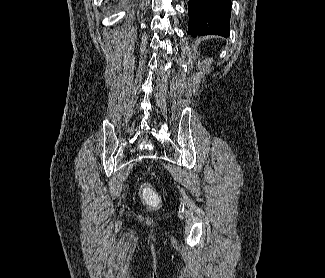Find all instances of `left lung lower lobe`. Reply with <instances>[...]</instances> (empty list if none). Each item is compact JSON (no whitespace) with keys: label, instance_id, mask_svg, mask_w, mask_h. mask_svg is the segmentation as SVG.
<instances>
[{"label":"left lung lower lobe","instance_id":"0a47b994","mask_svg":"<svg viewBox=\"0 0 325 278\" xmlns=\"http://www.w3.org/2000/svg\"><path fill=\"white\" fill-rule=\"evenodd\" d=\"M188 34L229 36L231 0H189Z\"/></svg>","mask_w":325,"mask_h":278}]
</instances>
